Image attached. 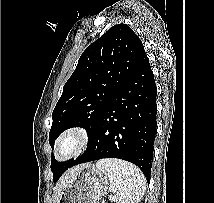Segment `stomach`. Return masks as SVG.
<instances>
[{"mask_svg":"<svg viewBox=\"0 0 214 203\" xmlns=\"http://www.w3.org/2000/svg\"><path fill=\"white\" fill-rule=\"evenodd\" d=\"M107 174L93 164H84L74 180L59 194L56 203H98L109 190Z\"/></svg>","mask_w":214,"mask_h":203,"instance_id":"1","label":"stomach"}]
</instances>
